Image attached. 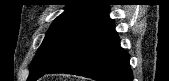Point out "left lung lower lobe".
Returning <instances> with one entry per match:
<instances>
[{
	"instance_id": "obj_1",
	"label": "left lung lower lobe",
	"mask_w": 169,
	"mask_h": 81,
	"mask_svg": "<svg viewBox=\"0 0 169 81\" xmlns=\"http://www.w3.org/2000/svg\"><path fill=\"white\" fill-rule=\"evenodd\" d=\"M129 60V54L120 47L108 11L79 32L46 73L29 81L49 73L74 74L97 81H132Z\"/></svg>"
}]
</instances>
